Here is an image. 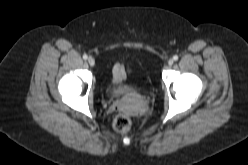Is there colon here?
<instances>
[{"instance_id": "colon-1", "label": "colon", "mask_w": 248, "mask_h": 165, "mask_svg": "<svg viewBox=\"0 0 248 165\" xmlns=\"http://www.w3.org/2000/svg\"><path fill=\"white\" fill-rule=\"evenodd\" d=\"M113 127L117 132L124 133L131 127V118L125 113H120L115 117Z\"/></svg>"}]
</instances>
